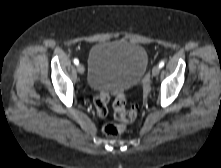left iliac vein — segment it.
Here are the masks:
<instances>
[{
	"label": "left iliac vein",
	"mask_w": 221,
	"mask_h": 168,
	"mask_svg": "<svg viewBox=\"0 0 221 168\" xmlns=\"http://www.w3.org/2000/svg\"><path fill=\"white\" fill-rule=\"evenodd\" d=\"M160 72V67L159 66H154L152 69V75L157 76Z\"/></svg>",
	"instance_id": "obj_1"
}]
</instances>
